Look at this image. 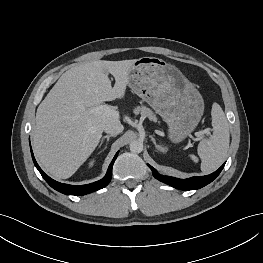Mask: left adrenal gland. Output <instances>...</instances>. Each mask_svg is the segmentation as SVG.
I'll return each mask as SVG.
<instances>
[{"mask_svg": "<svg viewBox=\"0 0 263 263\" xmlns=\"http://www.w3.org/2000/svg\"><path fill=\"white\" fill-rule=\"evenodd\" d=\"M151 141L153 142V144H154V146H155V148H156L157 151L165 152V148H164L162 145H158V144L156 143L155 138L152 137V136H151Z\"/></svg>", "mask_w": 263, "mask_h": 263, "instance_id": "a2214340", "label": "left adrenal gland"}]
</instances>
